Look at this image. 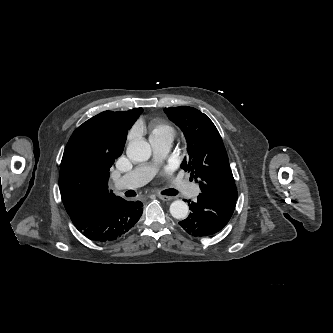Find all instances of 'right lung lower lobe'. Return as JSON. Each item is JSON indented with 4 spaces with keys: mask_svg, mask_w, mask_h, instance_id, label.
<instances>
[{
    "mask_svg": "<svg viewBox=\"0 0 333 333\" xmlns=\"http://www.w3.org/2000/svg\"><path fill=\"white\" fill-rule=\"evenodd\" d=\"M142 206L140 201L119 198L70 218L88 239L103 243L116 240L128 232L141 217Z\"/></svg>",
    "mask_w": 333,
    "mask_h": 333,
    "instance_id": "1",
    "label": "right lung lower lobe"
}]
</instances>
